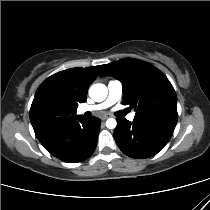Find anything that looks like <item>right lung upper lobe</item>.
I'll return each mask as SVG.
<instances>
[{
	"label": "right lung upper lobe",
	"mask_w": 210,
	"mask_h": 210,
	"mask_svg": "<svg viewBox=\"0 0 210 210\" xmlns=\"http://www.w3.org/2000/svg\"><path fill=\"white\" fill-rule=\"evenodd\" d=\"M102 68L103 65L71 68L55 73L44 80L37 89L30 108L32 126L36 117L50 107L61 110L60 123L74 117L78 104L86 101L88 88ZM41 133L43 132L35 131L36 135Z\"/></svg>",
	"instance_id": "obj_1"
}]
</instances>
